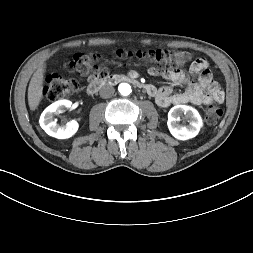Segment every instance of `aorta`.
<instances>
[{"label": "aorta", "instance_id": "aorta-1", "mask_svg": "<svg viewBox=\"0 0 253 253\" xmlns=\"http://www.w3.org/2000/svg\"><path fill=\"white\" fill-rule=\"evenodd\" d=\"M121 95L127 96L132 92L131 86L128 83H121L118 86Z\"/></svg>", "mask_w": 253, "mask_h": 253}]
</instances>
